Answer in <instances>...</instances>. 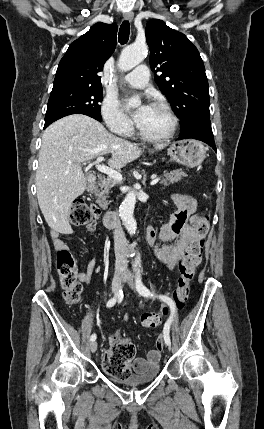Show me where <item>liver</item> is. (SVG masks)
<instances>
[{
  "mask_svg": "<svg viewBox=\"0 0 264 429\" xmlns=\"http://www.w3.org/2000/svg\"><path fill=\"white\" fill-rule=\"evenodd\" d=\"M165 146L157 144L154 148L161 150ZM108 153L112 154L108 165L120 169L136 160L142 150L82 114L66 116L44 131L36 187L39 207L52 230L62 234L73 232L68 212L73 200L86 188L81 164Z\"/></svg>",
  "mask_w": 264,
  "mask_h": 429,
  "instance_id": "obj_1",
  "label": "liver"
}]
</instances>
